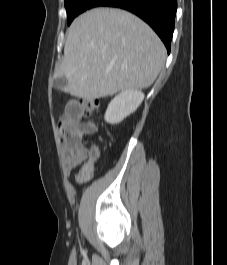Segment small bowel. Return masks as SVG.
<instances>
[{
  "label": "small bowel",
  "mask_w": 227,
  "mask_h": 265,
  "mask_svg": "<svg viewBox=\"0 0 227 265\" xmlns=\"http://www.w3.org/2000/svg\"><path fill=\"white\" fill-rule=\"evenodd\" d=\"M67 104V111H64L67 126L62 141L66 168L69 172L78 169L75 181L82 185L93 175L94 160L99 150L92 137L97 128L92 122L80 123L77 120V116H81L82 113L79 99H67ZM83 136L89 137L88 146L82 144Z\"/></svg>",
  "instance_id": "c3829d8e"
}]
</instances>
